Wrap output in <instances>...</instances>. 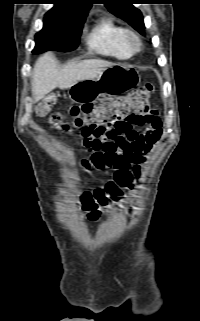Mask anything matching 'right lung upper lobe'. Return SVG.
I'll list each match as a JSON object with an SVG mask.
<instances>
[{
	"label": "right lung upper lobe",
	"instance_id": "right-lung-upper-lobe-1",
	"mask_svg": "<svg viewBox=\"0 0 200 321\" xmlns=\"http://www.w3.org/2000/svg\"><path fill=\"white\" fill-rule=\"evenodd\" d=\"M54 7L47 13L52 16H68L73 14L88 13L93 0H53Z\"/></svg>",
	"mask_w": 200,
	"mask_h": 321
}]
</instances>
